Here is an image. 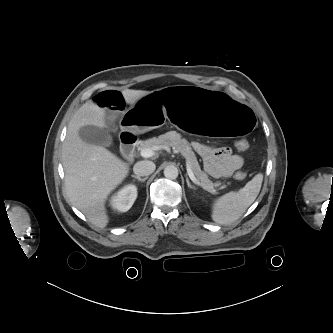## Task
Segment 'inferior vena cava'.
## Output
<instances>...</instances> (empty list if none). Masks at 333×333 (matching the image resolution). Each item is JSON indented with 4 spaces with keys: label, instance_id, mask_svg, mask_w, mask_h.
I'll return each mask as SVG.
<instances>
[{
    "label": "inferior vena cava",
    "instance_id": "602c4592",
    "mask_svg": "<svg viewBox=\"0 0 333 333\" xmlns=\"http://www.w3.org/2000/svg\"><path fill=\"white\" fill-rule=\"evenodd\" d=\"M155 169L156 166L152 161H139L133 167L134 173L138 176H148L152 174Z\"/></svg>",
    "mask_w": 333,
    "mask_h": 333
}]
</instances>
